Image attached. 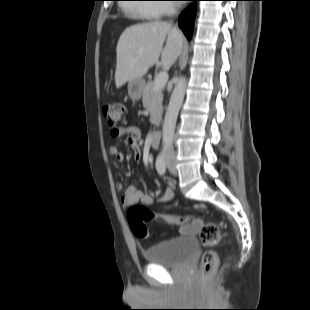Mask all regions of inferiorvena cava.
Segmentation results:
<instances>
[{
	"label": "inferior vena cava",
	"instance_id": "obj_1",
	"mask_svg": "<svg viewBox=\"0 0 310 310\" xmlns=\"http://www.w3.org/2000/svg\"><path fill=\"white\" fill-rule=\"evenodd\" d=\"M171 152H173L172 148H167V149L165 150V153H171Z\"/></svg>",
	"mask_w": 310,
	"mask_h": 310
}]
</instances>
